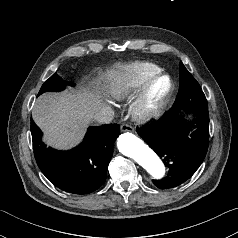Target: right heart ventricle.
Instances as JSON below:
<instances>
[{
    "label": "right heart ventricle",
    "mask_w": 238,
    "mask_h": 238,
    "mask_svg": "<svg viewBox=\"0 0 238 238\" xmlns=\"http://www.w3.org/2000/svg\"><path fill=\"white\" fill-rule=\"evenodd\" d=\"M159 71V67L150 62H135L117 67L111 74L110 93L117 100L131 99Z\"/></svg>",
    "instance_id": "1"
}]
</instances>
